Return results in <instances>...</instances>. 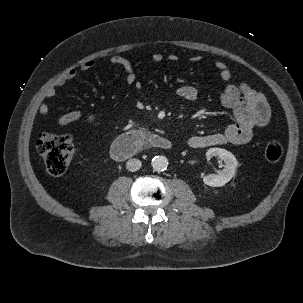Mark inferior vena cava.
Segmentation results:
<instances>
[{"label": "inferior vena cava", "mask_w": 303, "mask_h": 303, "mask_svg": "<svg viewBox=\"0 0 303 303\" xmlns=\"http://www.w3.org/2000/svg\"><path fill=\"white\" fill-rule=\"evenodd\" d=\"M142 166V163L140 160L138 159H129L126 163V168L127 170L131 171V172H135L137 170H139Z\"/></svg>", "instance_id": "1"}]
</instances>
